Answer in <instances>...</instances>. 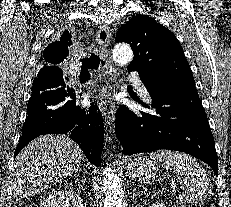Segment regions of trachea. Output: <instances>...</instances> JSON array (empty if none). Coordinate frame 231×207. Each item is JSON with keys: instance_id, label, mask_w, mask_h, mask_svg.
<instances>
[{"instance_id": "3493384b", "label": "trachea", "mask_w": 231, "mask_h": 207, "mask_svg": "<svg viewBox=\"0 0 231 207\" xmlns=\"http://www.w3.org/2000/svg\"><path fill=\"white\" fill-rule=\"evenodd\" d=\"M81 63H82L81 72H80L81 77H89L90 76L89 70L98 69L100 64L103 67L106 65L105 70L108 69L109 71L110 69L108 64L106 63V60L100 58V56L95 53H91L90 57L81 59Z\"/></svg>"}]
</instances>
